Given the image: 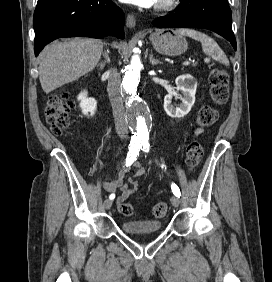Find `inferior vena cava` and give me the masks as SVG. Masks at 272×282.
Segmentation results:
<instances>
[{
  "label": "inferior vena cava",
  "instance_id": "obj_1",
  "mask_svg": "<svg viewBox=\"0 0 272 282\" xmlns=\"http://www.w3.org/2000/svg\"><path fill=\"white\" fill-rule=\"evenodd\" d=\"M107 91L113 110L116 132L120 138H126L128 123L122 99L121 77L115 68L109 71Z\"/></svg>",
  "mask_w": 272,
  "mask_h": 282
}]
</instances>
